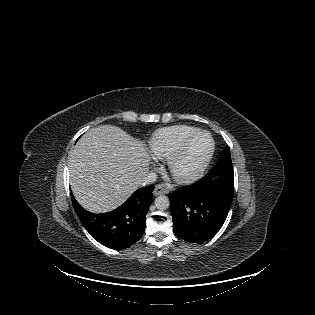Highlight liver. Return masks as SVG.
<instances>
[{
  "instance_id": "6515ba94",
  "label": "liver",
  "mask_w": 315,
  "mask_h": 315,
  "mask_svg": "<svg viewBox=\"0 0 315 315\" xmlns=\"http://www.w3.org/2000/svg\"><path fill=\"white\" fill-rule=\"evenodd\" d=\"M149 162L145 147L125 131L112 125L97 126L70 153L72 192L86 210L109 212L140 187Z\"/></svg>"
}]
</instances>
